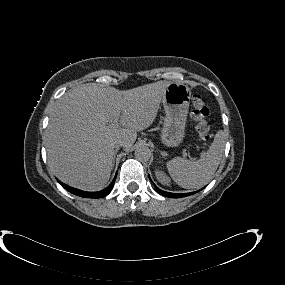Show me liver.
<instances>
[{
  "instance_id": "liver-1",
  "label": "liver",
  "mask_w": 285,
  "mask_h": 285,
  "mask_svg": "<svg viewBox=\"0 0 285 285\" xmlns=\"http://www.w3.org/2000/svg\"><path fill=\"white\" fill-rule=\"evenodd\" d=\"M170 82L129 90L83 84L55 103L45 132L47 162L62 182L86 191L103 189L111 174L115 142L130 149L137 132L155 120ZM119 121V126L113 123Z\"/></svg>"
}]
</instances>
